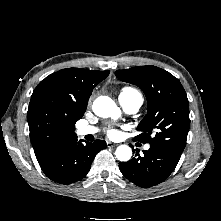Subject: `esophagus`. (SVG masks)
<instances>
[{"label": "esophagus", "mask_w": 221, "mask_h": 221, "mask_svg": "<svg viewBox=\"0 0 221 221\" xmlns=\"http://www.w3.org/2000/svg\"><path fill=\"white\" fill-rule=\"evenodd\" d=\"M106 145H107L108 148H113V147H116V146H117L116 143H112V142H110V141H108V142L106 143Z\"/></svg>", "instance_id": "esophagus-1"}]
</instances>
